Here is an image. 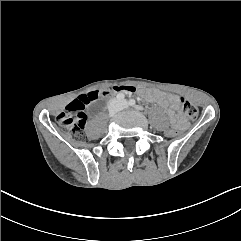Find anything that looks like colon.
<instances>
[{
	"label": "colon",
	"instance_id": "5ec220e1",
	"mask_svg": "<svg viewBox=\"0 0 241 241\" xmlns=\"http://www.w3.org/2000/svg\"><path fill=\"white\" fill-rule=\"evenodd\" d=\"M127 91L129 93L137 91L132 86L113 87L105 90H97L69 103L66 111L57 115L56 120L61 130L69 134L74 140L83 142L87 139L85 133L86 115L84 113L85 106L91 101H95L112 92ZM180 104L184 116L188 119H195L198 116V109L185 98H180ZM179 135L177 128H172L169 131L171 138H176Z\"/></svg>",
	"mask_w": 241,
	"mask_h": 241
}]
</instances>
